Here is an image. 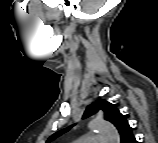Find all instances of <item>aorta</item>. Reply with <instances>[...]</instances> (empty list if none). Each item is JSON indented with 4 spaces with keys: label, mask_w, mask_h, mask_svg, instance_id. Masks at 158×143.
<instances>
[{
    "label": "aorta",
    "mask_w": 158,
    "mask_h": 143,
    "mask_svg": "<svg viewBox=\"0 0 158 143\" xmlns=\"http://www.w3.org/2000/svg\"><path fill=\"white\" fill-rule=\"evenodd\" d=\"M89 128L101 133L109 143H120V135L110 122L102 118H95L89 123Z\"/></svg>",
    "instance_id": "1"
}]
</instances>
